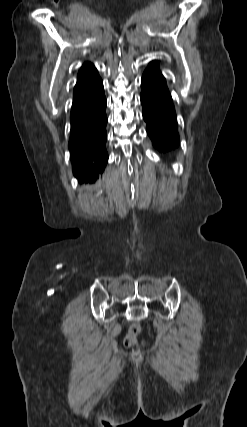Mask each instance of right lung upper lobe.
Segmentation results:
<instances>
[{
	"instance_id": "obj_1",
	"label": "right lung upper lobe",
	"mask_w": 247,
	"mask_h": 427,
	"mask_svg": "<svg viewBox=\"0 0 247 427\" xmlns=\"http://www.w3.org/2000/svg\"><path fill=\"white\" fill-rule=\"evenodd\" d=\"M95 68H94V66L92 65V64H90V63H85L82 67H81V69H80V71H79V73H78V78L79 77H82V76H84V75H86V74H88V73H90L91 71H93Z\"/></svg>"
}]
</instances>
